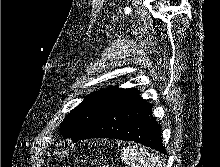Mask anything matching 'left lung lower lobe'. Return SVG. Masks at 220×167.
<instances>
[{"mask_svg":"<svg viewBox=\"0 0 220 167\" xmlns=\"http://www.w3.org/2000/svg\"><path fill=\"white\" fill-rule=\"evenodd\" d=\"M151 109L152 106L140 97L138 90L124 89L79 140L89 138L129 140L166 154L162 145L161 126L153 118Z\"/></svg>","mask_w":220,"mask_h":167,"instance_id":"obj_1","label":"left lung lower lobe"}]
</instances>
